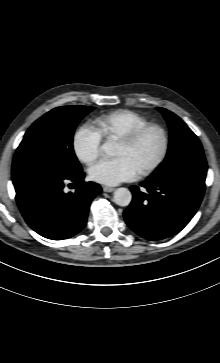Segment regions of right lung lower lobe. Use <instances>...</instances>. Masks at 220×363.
<instances>
[{
    "label": "right lung lower lobe",
    "instance_id": "obj_1",
    "mask_svg": "<svg viewBox=\"0 0 220 363\" xmlns=\"http://www.w3.org/2000/svg\"><path fill=\"white\" fill-rule=\"evenodd\" d=\"M81 171L72 176L38 177L17 186L16 200L27 224L43 237L61 240L80 232L86 225L92 199L101 192L93 182L83 183ZM67 181L79 183L65 193Z\"/></svg>",
    "mask_w": 220,
    "mask_h": 363
}]
</instances>
